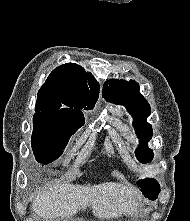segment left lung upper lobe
<instances>
[{
    "label": "left lung upper lobe",
    "instance_id": "obj_1",
    "mask_svg": "<svg viewBox=\"0 0 190 221\" xmlns=\"http://www.w3.org/2000/svg\"><path fill=\"white\" fill-rule=\"evenodd\" d=\"M103 97L115 104H121L126 107L133 116V126L135 133L140 140L141 145L135 151L137 159L145 164L153 158V151L147 147V142L153 135L151 125L146 122L147 117L151 113L150 106L145 98L139 93V85L130 80L118 81L111 80L105 82L103 87ZM141 187V191L145 197L155 200L160 192V185L154 179H143L137 182Z\"/></svg>",
    "mask_w": 190,
    "mask_h": 221
}]
</instances>
